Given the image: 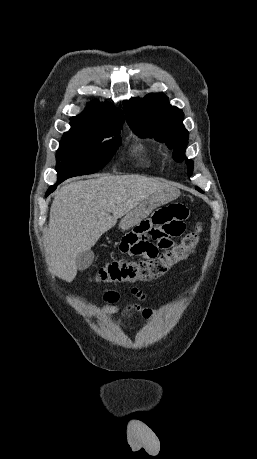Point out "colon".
<instances>
[{"label": "colon", "instance_id": "5ec220e1", "mask_svg": "<svg viewBox=\"0 0 257 459\" xmlns=\"http://www.w3.org/2000/svg\"><path fill=\"white\" fill-rule=\"evenodd\" d=\"M201 231L202 225L198 223L194 231L184 236L181 242L177 244L173 242L172 249L160 253L158 258H155V261L116 260L98 269L93 279L98 283L149 281L155 279L173 265L186 259L194 251L199 242Z\"/></svg>", "mask_w": 257, "mask_h": 459}]
</instances>
